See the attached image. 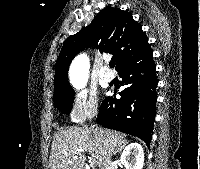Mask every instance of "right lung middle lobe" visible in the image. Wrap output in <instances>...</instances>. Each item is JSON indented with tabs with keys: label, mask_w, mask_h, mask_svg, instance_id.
<instances>
[{
	"label": "right lung middle lobe",
	"mask_w": 200,
	"mask_h": 169,
	"mask_svg": "<svg viewBox=\"0 0 200 169\" xmlns=\"http://www.w3.org/2000/svg\"><path fill=\"white\" fill-rule=\"evenodd\" d=\"M74 99V92L53 96V101L56 107L63 111L65 114H69L72 109V103Z\"/></svg>",
	"instance_id": "1"
}]
</instances>
